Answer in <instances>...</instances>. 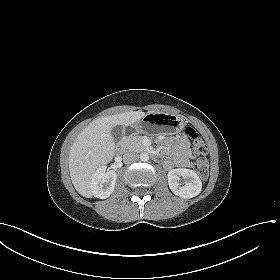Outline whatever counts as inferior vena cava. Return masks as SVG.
<instances>
[{"instance_id":"1","label":"inferior vena cava","mask_w":280,"mask_h":280,"mask_svg":"<svg viewBox=\"0 0 280 280\" xmlns=\"http://www.w3.org/2000/svg\"><path fill=\"white\" fill-rule=\"evenodd\" d=\"M138 159V154L132 151L126 152L123 155V160L125 163H131Z\"/></svg>"}]
</instances>
